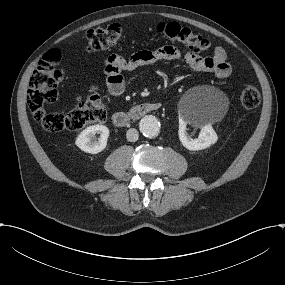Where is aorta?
<instances>
[{
	"label": "aorta",
	"mask_w": 285,
	"mask_h": 285,
	"mask_svg": "<svg viewBox=\"0 0 285 285\" xmlns=\"http://www.w3.org/2000/svg\"><path fill=\"white\" fill-rule=\"evenodd\" d=\"M140 131L145 137H156L160 131V123L152 115L145 116L140 121Z\"/></svg>",
	"instance_id": "762f6f07"
}]
</instances>
